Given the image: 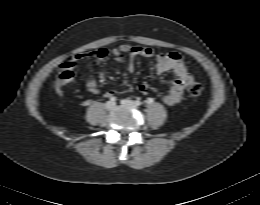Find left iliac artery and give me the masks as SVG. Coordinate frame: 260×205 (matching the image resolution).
<instances>
[{"label":"left iliac artery","mask_w":260,"mask_h":205,"mask_svg":"<svg viewBox=\"0 0 260 205\" xmlns=\"http://www.w3.org/2000/svg\"><path fill=\"white\" fill-rule=\"evenodd\" d=\"M135 105H136V106H140V105H141V101L136 100V101H135Z\"/></svg>","instance_id":"44dca946"}]
</instances>
